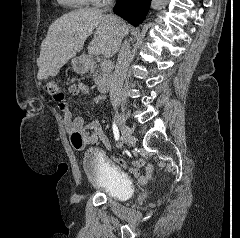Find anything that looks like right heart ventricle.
I'll return each instance as SVG.
<instances>
[{
  "mask_svg": "<svg viewBox=\"0 0 240 238\" xmlns=\"http://www.w3.org/2000/svg\"><path fill=\"white\" fill-rule=\"evenodd\" d=\"M61 5L66 6L68 8H82L88 4L92 0H57Z\"/></svg>",
  "mask_w": 240,
  "mask_h": 238,
  "instance_id": "1",
  "label": "right heart ventricle"
}]
</instances>
